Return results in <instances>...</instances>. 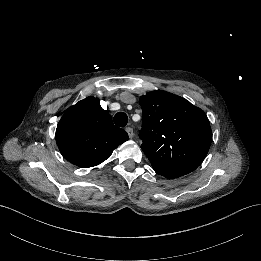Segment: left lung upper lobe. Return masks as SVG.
<instances>
[{"label":"left lung upper lobe","mask_w":261,"mask_h":261,"mask_svg":"<svg viewBox=\"0 0 261 261\" xmlns=\"http://www.w3.org/2000/svg\"><path fill=\"white\" fill-rule=\"evenodd\" d=\"M142 150L154 171L167 179L195 170L211 145L212 132L204 111L186 99L156 90L140 97Z\"/></svg>","instance_id":"obj_1"}]
</instances>
